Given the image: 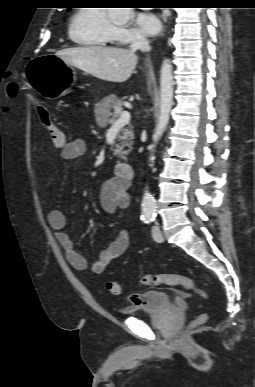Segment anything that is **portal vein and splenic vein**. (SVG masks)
I'll list each match as a JSON object with an SVG mask.
<instances>
[{
	"label": "portal vein and splenic vein",
	"instance_id": "1",
	"mask_svg": "<svg viewBox=\"0 0 255 387\" xmlns=\"http://www.w3.org/2000/svg\"><path fill=\"white\" fill-rule=\"evenodd\" d=\"M131 115L128 111H124L121 116L113 124V127H122L130 122Z\"/></svg>",
	"mask_w": 255,
	"mask_h": 387
}]
</instances>
